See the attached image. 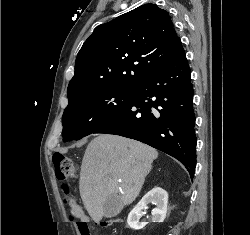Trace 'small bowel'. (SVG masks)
Returning <instances> with one entry per match:
<instances>
[{"label":"small bowel","mask_w":250,"mask_h":235,"mask_svg":"<svg viewBox=\"0 0 250 235\" xmlns=\"http://www.w3.org/2000/svg\"><path fill=\"white\" fill-rule=\"evenodd\" d=\"M71 213L74 216L78 217V218H83L84 217L83 210L78 205H72V207H71Z\"/></svg>","instance_id":"1"}]
</instances>
